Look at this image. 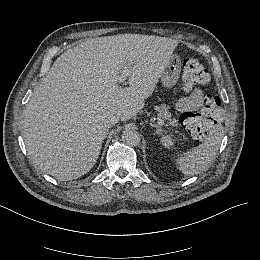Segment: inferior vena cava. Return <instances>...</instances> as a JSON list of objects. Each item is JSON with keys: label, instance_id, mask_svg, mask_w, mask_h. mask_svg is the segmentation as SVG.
<instances>
[{"label": "inferior vena cava", "instance_id": "1", "mask_svg": "<svg viewBox=\"0 0 260 260\" xmlns=\"http://www.w3.org/2000/svg\"><path fill=\"white\" fill-rule=\"evenodd\" d=\"M119 116L115 113H109L105 119V126L110 127L114 126L119 122Z\"/></svg>", "mask_w": 260, "mask_h": 260}]
</instances>
